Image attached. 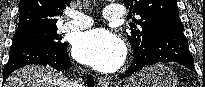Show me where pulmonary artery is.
<instances>
[{"label":"pulmonary artery","instance_id":"obj_1","mask_svg":"<svg viewBox=\"0 0 205 87\" xmlns=\"http://www.w3.org/2000/svg\"><path fill=\"white\" fill-rule=\"evenodd\" d=\"M70 21L62 24L61 29L64 31H78L89 28L93 25V19L78 11H69ZM126 16V10L121 5H109L105 8L104 18L107 20L122 19Z\"/></svg>","mask_w":205,"mask_h":87}]
</instances>
